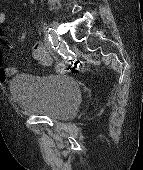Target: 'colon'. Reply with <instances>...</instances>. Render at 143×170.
I'll use <instances>...</instances> for the list:
<instances>
[{
	"label": "colon",
	"instance_id": "colon-1",
	"mask_svg": "<svg viewBox=\"0 0 143 170\" xmlns=\"http://www.w3.org/2000/svg\"><path fill=\"white\" fill-rule=\"evenodd\" d=\"M58 68H59L60 70H64V69L67 68V66H66V64H60ZM73 69H74V70H77V66H75Z\"/></svg>",
	"mask_w": 143,
	"mask_h": 170
}]
</instances>
